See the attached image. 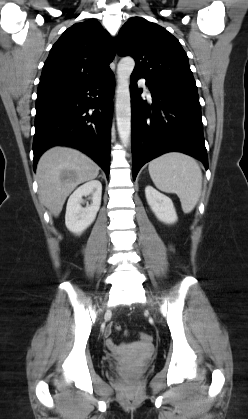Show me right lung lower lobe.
<instances>
[{
	"mask_svg": "<svg viewBox=\"0 0 248 419\" xmlns=\"http://www.w3.org/2000/svg\"><path fill=\"white\" fill-rule=\"evenodd\" d=\"M114 75L81 84L37 92L34 169L41 154L55 145L77 148L109 176Z\"/></svg>",
	"mask_w": 248,
	"mask_h": 419,
	"instance_id": "obj_1",
	"label": "right lung lower lobe"
}]
</instances>
